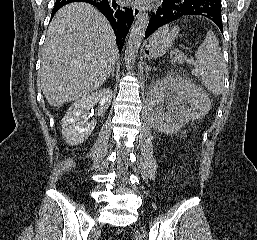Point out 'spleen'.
Here are the masks:
<instances>
[{
    "mask_svg": "<svg viewBox=\"0 0 257 240\" xmlns=\"http://www.w3.org/2000/svg\"><path fill=\"white\" fill-rule=\"evenodd\" d=\"M179 32V27L164 26L159 29L151 39H160L163 35L167 36V40H174ZM197 64L192 70L201 84L213 94H221L224 91V80L227 73V67L221 53L219 42L212 31H207L203 43L195 52Z\"/></svg>",
    "mask_w": 257,
    "mask_h": 240,
    "instance_id": "3e777b00",
    "label": "spleen"
}]
</instances>
